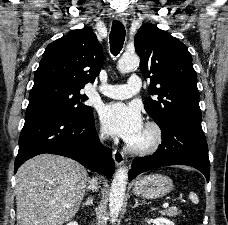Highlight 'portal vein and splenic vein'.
Wrapping results in <instances>:
<instances>
[{
	"label": "portal vein and splenic vein",
	"instance_id": "obj_1",
	"mask_svg": "<svg viewBox=\"0 0 228 225\" xmlns=\"http://www.w3.org/2000/svg\"><path fill=\"white\" fill-rule=\"evenodd\" d=\"M173 202H183V197H173ZM168 203L169 202H162L161 208L166 209L168 207Z\"/></svg>",
	"mask_w": 228,
	"mask_h": 225
}]
</instances>
